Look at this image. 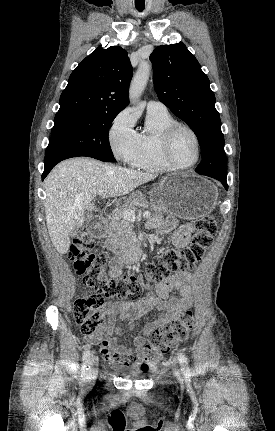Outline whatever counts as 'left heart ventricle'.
Returning <instances> with one entry per match:
<instances>
[{"instance_id": "b2bd125f", "label": "left heart ventricle", "mask_w": 275, "mask_h": 431, "mask_svg": "<svg viewBox=\"0 0 275 431\" xmlns=\"http://www.w3.org/2000/svg\"><path fill=\"white\" fill-rule=\"evenodd\" d=\"M172 156L181 165H188L195 160V141L188 131L180 130L175 135L172 144Z\"/></svg>"}]
</instances>
